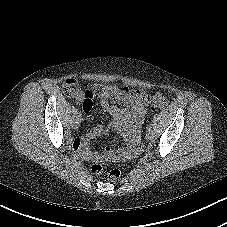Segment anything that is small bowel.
<instances>
[{"label": "small bowel", "instance_id": "1", "mask_svg": "<svg viewBox=\"0 0 227 227\" xmlns=\"http://www.w3.org/2000/svg\"><path fill=\"white\" fill-rule=\"evenodd\" d=\"M76 103L82 104L86 113L92 109V101L87 102L84 92L80 91L75 96ZM126 107H120L112 103L108 98H101L100 104L102 109L111 115L112 121L105 126L99 122L95 127L81 134V136L71 140L75 150L88 160L104 159L118 161L130 158L137 154L140 148V132L146 115L145 102L136 97H131ZM109 130L119 132L127 146L117 151L106 148L102 153H94L89 150V141L97 136L105 135Z\"/></svg>", "mask_w": 227, "mask_h": 227}]
</instances>
